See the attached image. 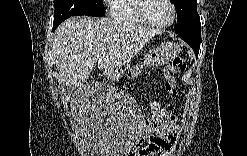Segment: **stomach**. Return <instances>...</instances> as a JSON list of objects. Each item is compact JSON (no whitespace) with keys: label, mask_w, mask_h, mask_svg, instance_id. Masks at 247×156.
<instances>
[{"label":"stomach","mask_w":247,"mask_h":156,"mask_svg":"<svg viewBox=\"0 0 247 156\" xmlns=\"http://www.w3.org/2000/svg\"><path fill=\"white\" fill-rule=\"evenodd\" d=\"M180 46L176 43H166L160 47L154 48L149 51L144 57V64L151 68H158L170 62L179 53ZM138 69L137 65L129 64L127 68L120 73H113L111 76L114 78L121 77L122 74L134 73Z\"/></svg>","instance_id":"1"}]
</instances>
